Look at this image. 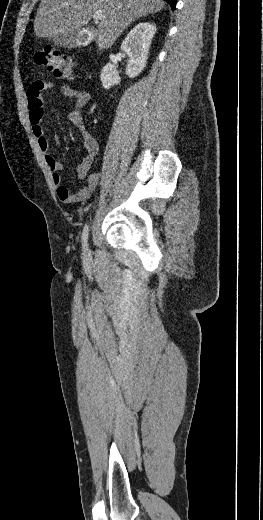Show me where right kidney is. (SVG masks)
<instances>
[{
	"label": "right kidney",
	"instance_id": "ca27d5eb",
	"mask_svg": "<svg viewBox=\"0 0 263 520\" xmlns=\"http://www.w3.org/2000/svg\"><path fill=\"white\" fill-rule=\"evenodd\" d=\"M155 33L156 26L153 23L142 22L137 24L123 40L121 50L129 57L126 67V75L129 78L138 76L145 68ZM100 79L105 89H109L121 81L116 66L112 63H107L103 67Z\"/></svg>",
	"mask_w": 263,
	"mask_h": 520
}]
</instances>
